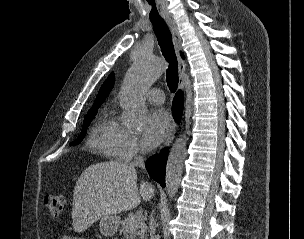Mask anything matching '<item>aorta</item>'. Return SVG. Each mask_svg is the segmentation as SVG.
Returning a JSON list of instances; mask_svg holds the SVG:
<instances>
[{
  "label": "aorta",
  "instance_id": "1",
  "mask_svg": "<svg viewBox=\"0 0 304 239\" xmlns=\"http://www.w3.org/2000/svg\"><path fill=\"white\" fill-rule=\"evenodd\" d=\"M163 71V63L152 56L142 55L134 60L121 89L123 119L126 123L138 126L145 121L147 109L144 93ZM186 140L185 135L177 138L168 155L165 183L170 197L177 193L180 186L186 157Z\"/></svg>",
  "mask_w": 304,
  "mask_h": 239
}]
</instances>
